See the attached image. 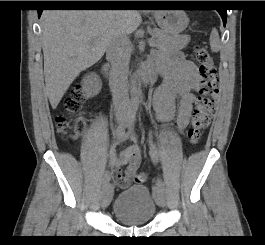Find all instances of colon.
Segmentation results:
<instances>
[{"label": "colon", "mask_w": 265, "mask_h": 245, "mask_svg": "<svg viewBox=\"0 0 265 245\" xmlns=\"http://www.w3.org/2000/svg\"><path fill=\"white\" fill-rule=\"evenodd\" d=\"M194 56L202 79V88L187 132L188 141L193 145L201 140L204 130L208 127L215 112L216 99L219 93L217 68L210 53L202 46H195ZM83 99L82 88L80 86L74 87L65 101L67 114L58 115L56 118V125L60 130L72 136H77L83 132L85 123L83 118L78 116L82 109ZM147 179L148 174L146 172H140L136 175V182L138 183Z\"/></svg>", "instance_id": "obj_1"}]
</instances>
